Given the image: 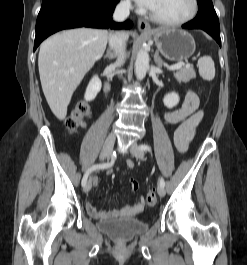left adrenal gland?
I'll return each mask as SVG.
<instances>
[{"mask_svg": "<svg viewBox=\"0 0 247 265\" xmlns=\"http://www.w3.org/2000/svg\"><path fill=\"white\" fill-rule=\"evenodd\" d=\"M154 62L156 63V65H157L158 68H161L162 65H163V61H162V59L160 58L158 51L155 52V55H154Z\"/></svg>", "mask_w": 247, "mask_h": 265, "instance_id": "a2214340", "label": "left adrenal gland"}]
</instances>
